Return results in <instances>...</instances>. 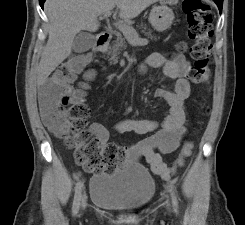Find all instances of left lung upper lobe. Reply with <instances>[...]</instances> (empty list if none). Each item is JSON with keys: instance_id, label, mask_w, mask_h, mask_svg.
<instances>
[{"instance_id": "1", "label": "left lung upper lobe", "mask_w": 245, "mask_h": 225, "mask_svg": "<svg viewBox=\"0 0 245 225\" xmlns=\"http://www.w3.org/2000/svg\"><path fill=\"white\" fill-rule=\"evenodd\" d=\"M215 2L222 3L223 0H214Z\"/></svg>"}]
</instances>
